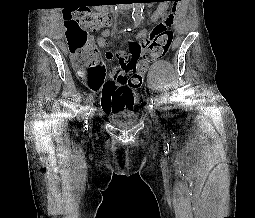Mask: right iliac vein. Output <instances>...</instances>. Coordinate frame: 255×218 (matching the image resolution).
I'll use <instances>...</instances> for the list:
<instances>
[{
  "label": "right iliac vein",
  "instance_id": "right-iliac-vein-1",
  "mask_svg": "<svg viewBox=\"0 0 255 218\" xmlns=\"http://www.w3.org/2000/svg\"><path fill=\"white\" fill-rule=\"evenodd\" d=\"M94 118V108H91L90 112H89V119H90V122H92Z\"/></svg>",
  "mask_w": 255,
  "mask_h": 218
}]
</instances>
